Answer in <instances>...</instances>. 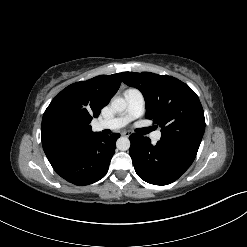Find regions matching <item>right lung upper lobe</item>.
Listing matches in <instances>:
<instances>
[{
	"instance_id": "obj_1",
	"label": "right lung upper lobe",
	"mask_w": 247,
	"mask_h": 247,
	"mask_svg": "<svg viewBox=\"0 0 247 247\" xmlns=\"http://www.w3.org/2000/svg\"><path fill=\"white\" fill-rule=\"evenodd\" d=\"M121 81L120 73L100 75L69 85L51 101L41 129L47 157L76 149L98 134L91 131L89 123L117 92Z\"/></svg>"
}]
</instances>
